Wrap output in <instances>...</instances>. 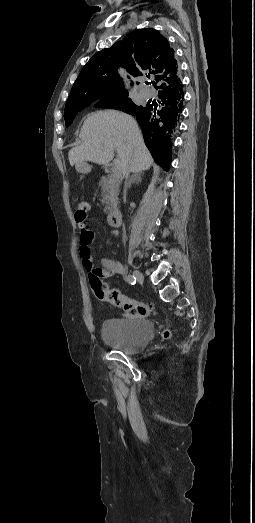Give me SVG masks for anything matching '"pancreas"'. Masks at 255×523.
Here are the masks:
<instances>
[{
    "instance_id": "1",
    "label": "pancreas",
    "mask_w": 255,
    "mask_h": 523,
    "mask_svg": "<svg viewBox=\"0 0 255 523\" xmlns=\"http://www.w3.org/2000/svg\"><path fill=\"white\" fill-rule=\"evenodd\" d=\"M119 178L118 176H103L99 182V186L102 190L101 194L103 196L102 198V204H106L104 208L105 214H110V212H113L115 208V204L118 200V192H119Z\"/></svg>"
}]
</instances>
